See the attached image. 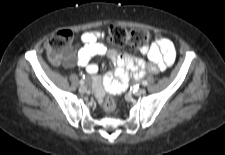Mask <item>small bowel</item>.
Wrapping results in <instances>:
<instances>
[{
    "instance_id": "small-bowel-1",
    "label": "small bowel",
    "mask_w": 225,
    "mask_h": 155,
    "mask_svg": "<svg viewBox=\"0 0 225 155\" xmlns=\"http://www.w3.org/2000/svg\"><path fill=\"white\" fill-rule=\"evenodd\" d=\"M103 33L88 31L81 35L82 45L77 48L76 55L71 61H65L67 67L77 64L84 67L91 75L93 88L97 99L101 104H106L105 94L111 93L110 99L114 105L122 103L117 93L123 91L129 79H140L146 72L157 74L171 66L176 57L173 43L167 38H158L151 45H143L140 52L147 56L148 62L134 58L130 54L120 53L116 49L108 48L99 39ZM95 56H107L115 65L114 73H108L104 77L97 74L98 66L91 60Z\"/></svg>"
}]
</instances>
